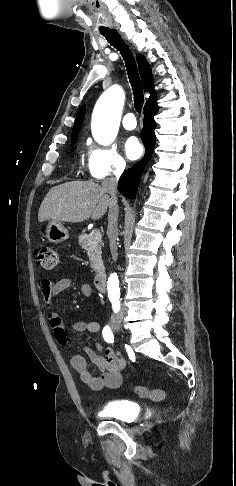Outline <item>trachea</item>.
<instances>
[{"mask_svg": "<svg viewBox=\"0 0 236 486\" xmlns=\"http://www.w3.org/2000/svg\"><path fill=\"white\" fill-rule=\"evenodd\" d=\"M101 34L105 36V38L112 46H114L117 50L120 51L125 61L128 78L132 86L135 109L138 113H141V109L144 102L143 88L138 74L136 61L131 50L129 49V47L126 45V43L123 41V39L121 38V36L118 34L116 30L114 29L101 30Z\"/></svg>", "mask_w": 236, "mask_h": 486, "instance_id": "3493384b", "label": "trachea"}]
</instances>
